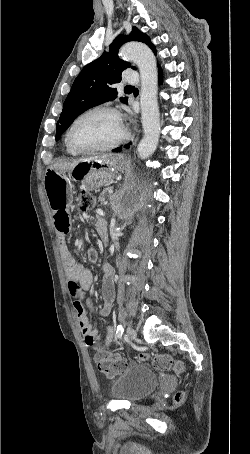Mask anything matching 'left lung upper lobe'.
I'll return each instance as SVG.
<instances>
[{
  "instance_id": "left-lung-upper-lobe-1",
  "label": "left lung upper lobe",
  "mask_w": 250,
  "mask_h": 454,
  "mask_svg": "<svg viewBox=\"0 0 250 454\" xmlns=\"http://www.w3.org/2000/svg\"><path fill=\"white\" fill-rule=\"evenodd\" d=\"M139 41L147 44L155 53V47L150 38L137 27H133L129 36H118L104 51L101 57L87 64L75 79L68 94L63 111L56 127V140L71 125L73 120L87 109L114 100L117 90L114 84L121 81L122 72L131 64L119 59L117 53L123 42ZM135 69L134 67H132ZM127 103L128 98H121Z\"/></svg>"
}]
</instances>
